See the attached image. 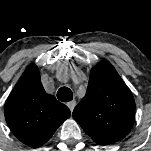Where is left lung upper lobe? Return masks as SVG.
I'll use <instances>...</instances> for the list:
<instances>
[{"label":"left lung upper lobe","mask_w":151,"mask_h":151,"mask_svg":"<svg viewBox=\"0 0 151 151\" xmlns=\"http://www.w3.org/2000/svg\"><path fill=\"white\" fill-rule=\"evenodd\" d=\"M134 97L112 64L97 63L91 69L85 97L73 118L100 145L122 139L134 123Z\"/></svg>","instance_id":"obj_1"}]
</instances>
